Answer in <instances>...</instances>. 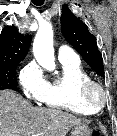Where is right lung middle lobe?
Returning <instances> with one entry per match:
<instances>
[{"instance_id": "dd1d6c3e", "label": "right lung middle lobe", "mask_w": 117, "mask_h": 136, "mask_svg": "<svg viewBox=\"0 0 117 136\" xmlns=\"http://www.w3.org/2000/svg\"><path fill=\"white\" fill-rule=\"evenodd\" d=\"M17 64L0 65V90H17L16 66Z\"/></svg>"}]
</instances>
